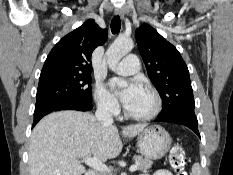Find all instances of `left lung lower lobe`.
Masks as SVG:
<instances>
[{
	"mask_svg": "<svg viewBox=\"0 0 233 175\" xmlns=\"http://www.w3.org/2000/svg\"><path fill=\"white\" fill-rule=\"evenodd\" d=\"M154 122H171L187 126L193 130L199 137L198 121L195 113H176L168 116H158Z\"/></svg>",
	"mask_w": 233,
	"mask_h": 175,
	"instance_id": "obj_1",
	"label": "left lung lower lobe"
}]
</instances>
